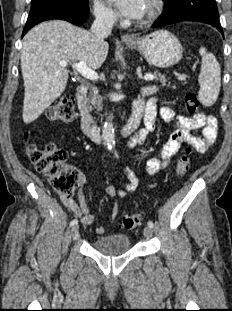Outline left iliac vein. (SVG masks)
I'll return each mask as SVG.
<instances>
[{"label":"left iliac vein","mask_w":232,"mask_h":311,"mask_svg":"<svg viewBox=\"0 0 232 311\" xmlns=\"http://www.w3.org/2000/svg\"><path fill=\"white\" fill-rule=\"evenodd\" d=\"M144 236L146 238H150L152 236V228H150L149 226L144 228Z\"/></svg>","instance_id":"left-iliac-vein-1"}]
</instances>
